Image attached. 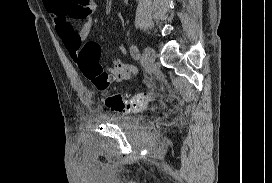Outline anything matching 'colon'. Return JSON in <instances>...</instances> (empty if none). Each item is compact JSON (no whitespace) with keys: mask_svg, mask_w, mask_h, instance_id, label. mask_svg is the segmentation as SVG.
Masks as SVG:
<instances>
[{"mask_svg":"<svg viewBox=\"0 0 272 183\" xmlns=\"http://www.w3.org/2000/svg\"><path fill=\"white\" fill-rule=\"evenodd\" d=\"M101 48L96 42H87L80 50L77 63L82 74L105 98L106 105L114 111L134 113L141 111L149 102L148 93L123 96L112 92L110 77L99 63Z\"/></svg>","mask_w":272,"mask_h":183,"instance_id":"1","label":"colon"}]
</instances>
